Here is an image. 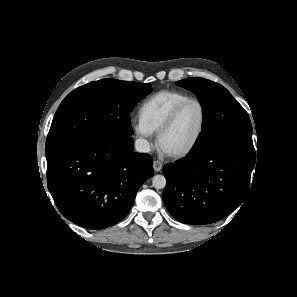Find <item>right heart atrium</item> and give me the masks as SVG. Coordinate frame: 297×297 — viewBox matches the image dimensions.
<instances>
[{
  "mask_svg": "<svg viewBox=\"0 0 297 297\" xmlns=\"http://www.w3.org/2000/svg\"><path fill=\"white\" fill-rule=\"evenodd\" d=\"M133 130L139 139L142 141L144 147L149 146V140L152 135L150 129L146 126V124L142 121L141 118H136L132 123Z\"/></svg>",
  "mask_w": 297,
  "mask_h": 297,
  "instance_id": "1",
  "label": "right heart atrium"
}]
</instances>
